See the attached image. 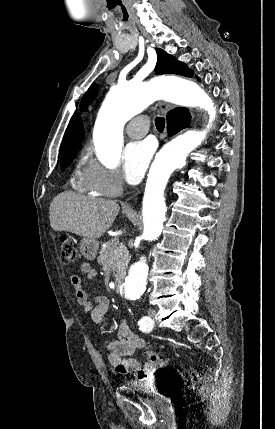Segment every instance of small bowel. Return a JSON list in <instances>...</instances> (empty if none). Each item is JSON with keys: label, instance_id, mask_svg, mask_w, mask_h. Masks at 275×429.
Listing matches in <instances>:
<instances>
[{"label": "small bowel", "instance_id": "1", "mask_svg": "<svg viewBox=\"0 0 275 429\" xmlns=\"http://www.w3.org/2000/svg\"><path fill=\"white\" fill-rule=\"evenodd\" d=\"M79 271L82 274H87L88 277H93L95 271L90 264L83 262L79 266ZM70 282L74 289V294L79 306L86 313H89L91 320L95 324H102L109 311V300L105 296H97L94 303L88 300V296L82 287V281L79 274H73L70 277ZM118 339L107 344V360L108 363L115 367L120 372H129L131 370H139L141 362L133 357L138 350L146 348V342L136 335L123 320L117 331Z\"/></svg>", "mask_w": 275, "mask_h": 429}]
</instances>
